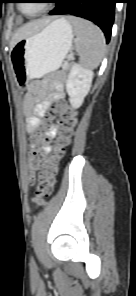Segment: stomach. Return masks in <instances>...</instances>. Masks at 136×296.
Instances as JSON below:
<instances>
[{
  "label": "stomach",
  "instance_id": "0dacf381",
  "mask_svg": "<svg viewBox=\"0 0 136 296\" xmlns=\"http://www.w3.org/2000/svg\"><path fill=\"white\" fill-rule=\"evenodd\" d=\"M73 30L64 18L56 19L42 30L19 40L11 50L14 72L20 84L59 69L71 48ZM26 90V85H19Z\"/></svg>",
  "mask_w": 136,
  "mask_h": 296
}]
</instances>
